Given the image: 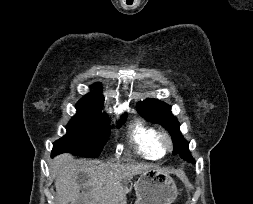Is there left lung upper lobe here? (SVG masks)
Here are the masks:
<instances>
[{"label":"left lung upper lobe","mask_w":253,"mask_h":204,"mask_svg":"<svg viewBox=\"0 0 253 204\" xmlns=\"http://www.w3.org/2000/svg\"><path fill=\"white\" fill-rule=\"evenodd\" d=\"M137 109L146 120L158 123L168 130L174 144V155L179 154L185 160L191 156L188 149L189 143L181 135L180 125L171 113V106L159 100L147 99L139 102Z\"/></svg>","instance_id":"5c2ea615"}]
</instances>
